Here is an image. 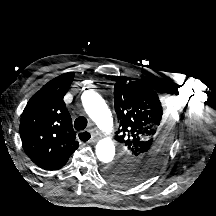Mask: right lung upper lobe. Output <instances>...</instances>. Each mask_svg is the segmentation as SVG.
<instances>
[{"mask_svg":"<svg viewBox=\"0 0 216 216\" xmlns=\"http://www.w3.org/2000/svg\"><path fill=\"white\" fill-rule=\"evenodd\" d=\"M75 73L62 74L28 101L20 120V136L29 158L46 170L63 167L78 148L63 97Z\"/></svg>","mask_w":216,"mask_h":216,"instance_id":"obj_1","label":"right lung upper lobe"}]
</instances>
